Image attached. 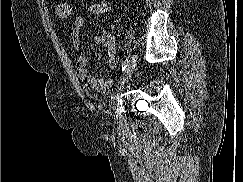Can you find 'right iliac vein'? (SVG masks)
Returning a JSON list of instances; mask_svg holds the SVG:
<instances>
[{"instance_id":"1","label":"right iliac vein","mask_w":243,"mask_h":182,"mask_svg":"<svg viewBox=\"0 0 243 182\" xmlns=\"http://www.w3.org/2000/svg\"><path fill=\"white\" fill-rule=\"evenodd\" d=\"M136 61H137V56L133 55L130 60L128 61L127 67H126V71L123 74V76L121 77L117 89L115 91V93L113 94L112 97V102L115 103L117 95L119 94V92L121 91V89L124 87V85L126 83H128L129 79L131 78L133 71L135 69L136 66Z\"/></svg>"}]
</instances>
